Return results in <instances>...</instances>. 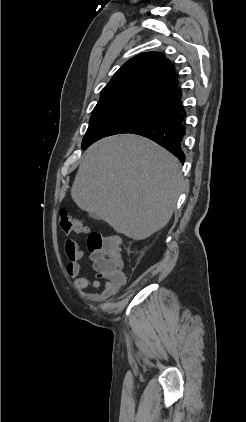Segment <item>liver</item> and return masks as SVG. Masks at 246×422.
<instances>
[{"label": "liver", "mask_w": 246, "mask_h": 422, "mask_svg": "<svg viewBox=\"0 0 246 422\" xmlns=\"http://www.w3.org/2000/svg\"><path fill=\"white\" fill-rule=\"evenodd\" d=\"M183 187L176 157L147 138L122 134L87 149L71 197L80 209L138 241L166 226Z\"/></svg>", "instance_id": "6515ba94"}]
</instances>
